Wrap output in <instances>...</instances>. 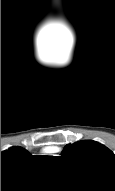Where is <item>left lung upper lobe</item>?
<instances>
[{
	"instance_id": "obj_1",
	"label": "left lung upper lobe",
	"mask_w": 115,
	"mask_h": 191,
	"mask_svg": "<svg viewBox=\"0 0 115 191\" xmlns=\"http://www.w3.org/2000/svg\"><path fill=\"white\" fill-rule=\"evenodd\" d=\"M66 158L75 159L91 165H102L115 172V155L104 145L93 140H81L67 144L63 150Z\"/></svg>"
}]
</instances>
